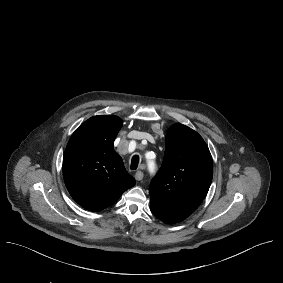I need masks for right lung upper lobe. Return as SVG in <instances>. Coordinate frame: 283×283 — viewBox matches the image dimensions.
<instances>
[{
	"mask_svg": "<svg viewBox=\"0 0 283 283\" xmlns=\"http://www.w3.org/2000/svg\"><path fill=\"white\" fill-rule=\"evenodd\" d=\"M122 125L117 116H94L68 142L63 158L65 184L87 210L98 212L111 206L136 183L113 146Z\"/></svg>",
	"mask_w": 283,
	"mask_h": 283,
	"instance_id": "1",
	"label": "right lung upper lobe"
}]
</instances>
